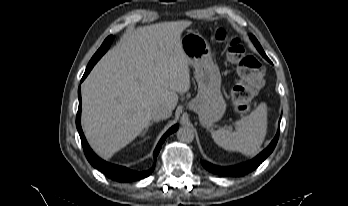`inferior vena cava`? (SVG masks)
<instances>
[{"label":"inferior vena cava","mask_w":348,"mask_h":206,"mask_svg":"<svg viewBox=\"0 0 348 206\" xmlns=\"http://www.w3.org/2000/svg\"><path fill=\"white\" fill-rule=\"evenodd\" d=\"M171 114L172 112L163 106L155 107L152 110V118L156 121L167 119Z\"/></svg>","instance_id":"obj_1"}]
</instances>
